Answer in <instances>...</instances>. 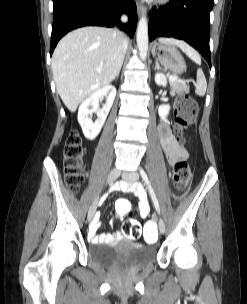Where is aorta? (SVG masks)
<instances>
[{
  "label": "aorta",
  "mask_w": 247,
  "mask_h": 304,
  "mask_svg": "<svg viewBox=\"0 0 247 304\" xmlns=\"http://www.w3.org/2000/svg\"><path fill=\"white\" fill-rule=\"evenodd\" d=\"M137 46L142 60L147 57L148 51V24L145 14H142L137 27Z\"/></svg>",
  "instance_id": "1"
}]
</instances>
